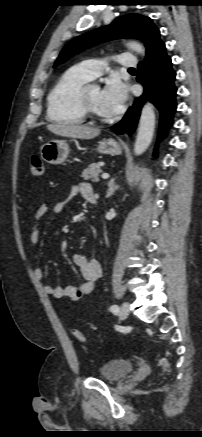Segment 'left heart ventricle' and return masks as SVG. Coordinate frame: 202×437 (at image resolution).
<instances>
[{
    "label": "left heart ventricle",
    "mask_w": 202,
    "mask_h": 437,
    "mask_svg": "<svg viewBox=\"0 0 202 437\" xmlns=\"http://www.w3.org/2000/svg\"><path fill=\"white\" fill-rule=\"evenodd\" d=\"M87 96L92 108L102 116H108L109 114L104 110L102 105V91L94 86L87 88Z\"/></svg>",
    "instance_id": "b2bd125f"
}]
</instances>
